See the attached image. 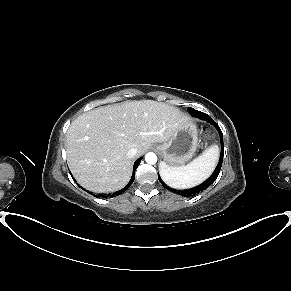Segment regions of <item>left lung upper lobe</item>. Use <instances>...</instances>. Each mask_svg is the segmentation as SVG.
I'll return each instance as SVG.
<instances>
[{"instance_id": "5c2ea615", "label": "left lung upper lobe", "mask_w": 291, "mask_h": 291, "mask_svg": "<svg viewBox=\"0 0 291 291\" xmlns=\"http://www.w3.org/2000/svg\"><path fill=\"white\" fill-rule=\"evenodd\" d=\"M195 109H193V108H188V112L192 115V112L194 111Z\"/></svg>"}]
</instances>
